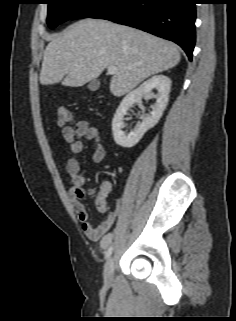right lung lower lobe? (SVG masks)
Instances as JSON below:
<instances>
[{
    "instance_id": "obj_1",
    "label": "right lung lower lobe",
    "mask_w": 236,
    "mask_h": 321,
    "mask_svg": "<svg viewBox=\"0 0 236 321\" xmlns=\"http://www.w3.org/2000/svg\"><path fill=\"white\" fill-rule=\"evenodd\" d=\"M196 3V0H111L89 17L128 25L173 41L191 60Z\"/></svg>"
}]
</instances>
